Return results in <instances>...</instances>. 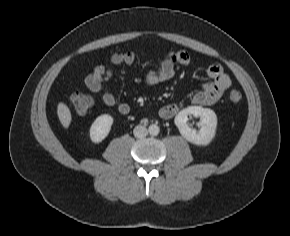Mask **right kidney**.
I'll use <instances>...</instances> for the list:
<instances>
[{"instance_id":"obj_1","label":"right kidney","mask_w":290,"mask_h":236,"mask_svg":"<svg viewBox=\"0 0 290 236\" xmlns=\"http://www.w3.org/2000/svg\"><path fill=\"white\" fill-rule=\"evenodd\" d=\"M113 124V117L108 114L98 116L90 127V139L94 143L104 140Z\"/></svg>"}]
</instances>
